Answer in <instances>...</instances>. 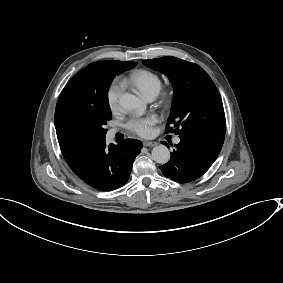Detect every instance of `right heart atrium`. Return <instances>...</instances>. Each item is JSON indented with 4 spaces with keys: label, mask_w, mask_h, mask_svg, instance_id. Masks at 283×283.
<instances>
[{
    "label": "right heart atrium",
    "mask_w": 283,
    "mask_h": 283,
    "mask_svg": "<svg viewBox=\"0 0 283 283\" xmlns=\"http://www.w3.org/2000/svg\"><path fill=\"white\" fill-rule=\"evenodd\" d=\"M123 90H124V85L117 78L112 79L108 83L106 87V91H105V99H106V103L110 111L115 112L116 110L119 109L120 99H121Z\"/></svg>",
    "instance_id": "d8ad5b80"
}]
</instances>
